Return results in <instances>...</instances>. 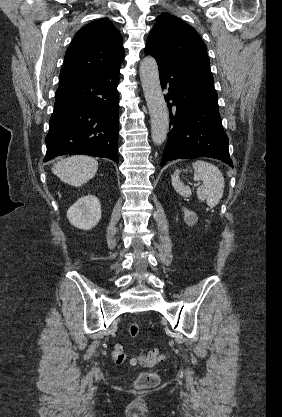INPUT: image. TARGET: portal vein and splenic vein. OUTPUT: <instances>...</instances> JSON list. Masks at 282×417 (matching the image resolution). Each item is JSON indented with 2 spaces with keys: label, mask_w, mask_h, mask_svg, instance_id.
Masks as SVG:
<instances>
[{
  "label": "portal vein and splenic vein",
  "mask_w": 282,
  "mask_h": 417,
  "mask_svg": "<svg viewBox=\"0 0 282 417\" xmlns=\"http://www.w3.org/2000/svg\"><path fill=\"white\" fill-rule=\"evenodd\" d=\"M198 184H199V182H198ZM198 184H195V186H198Z\"/></svg>",
  "instance_id": "1"
}]
</instances>
